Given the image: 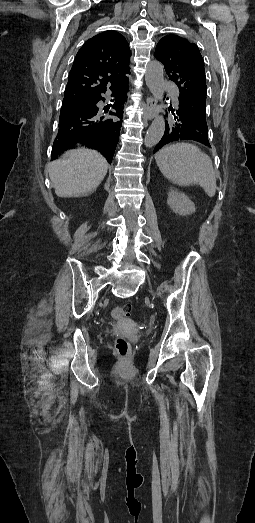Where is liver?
<instances>
[{"mask_svg": "<svg viewBox=\"0 0 255 523\" xmlns=\"http://www.w3.org/2000/svg\"><path fill=\"white\" fill-rule=\"evenodd\" d=\"M49 178L59 198H79L95 190L105 178L108 162L97 150H68L60 160L49 162Z\"/></svg>", "mask_w": 255, "mask_h": 523, "instance_id": "6515ba94", "label": "liver"}]
</instances>
